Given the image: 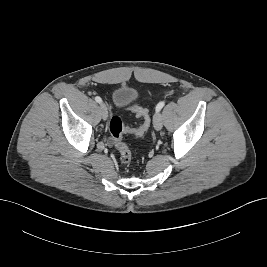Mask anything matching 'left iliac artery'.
Returning a JSON list of instances; mask_svg holds the SVG:
<instances>
[{
  "mask_svg": "<svg viewBox=\"0 0 267 267\" xmlns=\"http://www.w3.org/2000/svg\"><path fill=\"white\" fill-rule=\"evenodd\" d=\"M165 105V102L164 101H161L157 104L156 106V112H159Z\"/></svg>",
  "mask_w": 267,
  "mask_h": 267,
  "instance_id": "obj_1",
  "label": "left iliac artery"
}]
</instances>
